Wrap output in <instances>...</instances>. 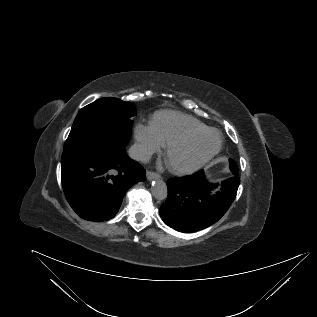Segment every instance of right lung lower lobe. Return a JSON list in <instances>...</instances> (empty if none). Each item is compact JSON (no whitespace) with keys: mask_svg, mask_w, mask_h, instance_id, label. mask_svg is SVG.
I'll return each instance as SVG.
<instances>
[{"mask_svg":"<svg viewBox=\"0 0 317 317\" xmlns=\"http://www.w3.org/2000/svg\"><path fill=\"white\" fill-rule=\"evenodd\" d=\"M145 177V170L128 157L125 146L113 143L61 164L69 204L81 218L91 221L113 218L127 189Z\"/></svg>","mask_w":317,"mask_h":317,"instance_id":"right-lung-lower-lobe-1","label":"right lung lower lobe"}]
</instances>
